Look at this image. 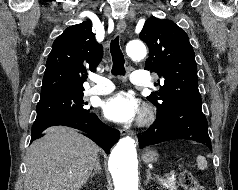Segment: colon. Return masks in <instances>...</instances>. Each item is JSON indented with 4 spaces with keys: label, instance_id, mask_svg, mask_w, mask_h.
<instances>
[{
    "label": "colon",
    "instance_id": "obj_1",
    "mask_svg": "<svg viewBox=\"0 0 238 190\" xmlns=\"http://www.w3.org/2000/svg\"><path fill=\"white\" fill-rule=\"evenodd\" d=\"M179 182L185 190H205L193 173L186 169L179 172Z\"/></svg>",
    "mask_w": 238,
    "mask_h": 190
}]
</instances>
